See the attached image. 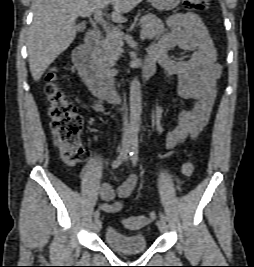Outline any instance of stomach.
I'll use <instances>...</instances> for the list:
<instances>
[{"mask_svg":"<svg viewBox=\"0 0 254 267\" xmlns=\"http://www.w3.org/2000/svg\"><path fill=\"white\" fill-rule=\"evenodd\" d=\"M154 8L159 11H169L176 8L181 0H149Z\"/></svg>","mask_w":254,"mask_h":267,"instance_id":"1","label":"stomach"}]
</instances>
